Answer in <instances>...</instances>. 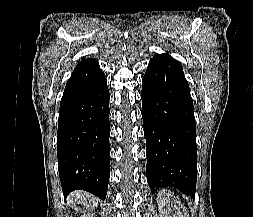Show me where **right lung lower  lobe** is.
<instances>
[{
  "instance_id": "obj_1",
  "label": "right lung lower lobe",
  "mask_w": 253,
  "mask_h": 217,
  "mask_svg": "<svg viewBox=\"0 0 253 217\" xmlns=\"http://www.w3.org/2000/svg\"><path fill=\"white\" fill-rule=\"evenodd\" d=\"M109 91L96 60L76 66L60 103L58 170L64 195L81 189L105 200L110 177Z\"/></svg>"
}]
</instances>
